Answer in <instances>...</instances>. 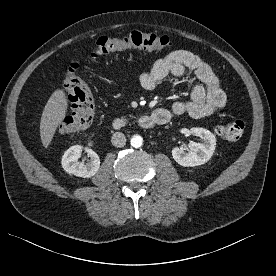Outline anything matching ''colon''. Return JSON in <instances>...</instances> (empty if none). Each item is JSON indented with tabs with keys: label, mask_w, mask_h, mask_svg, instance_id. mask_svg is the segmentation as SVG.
<instances>
[{
	"label": "colon",
	"mask_w": 276,
	"mask_h": 276,
	"mask_svg": "<svg viewBox=\"0 0 276 276\" xmlns=\"http://www.w3.org/2000/svg\"><path fill=\"white\" fill-rule=\"evenodd\" d=\"M167 36L152 32L132 30L118 37H100L95 41L90 58L132 49L160 51L171 46ZM79 64L73 63L68 69L65 88L69 95L71 113L61 122V133L70 135L89 127L95 118V100L88 84L76 74ZM245 129V122L235 119L216 127V133L229 140L239 139Z\"/></svg>",
	"instance_id": "5ec220e1"
}]
</instances>
